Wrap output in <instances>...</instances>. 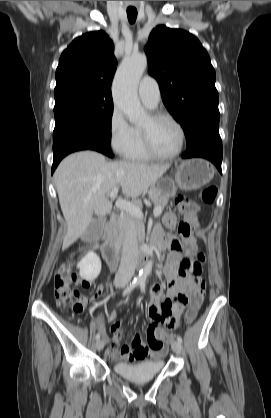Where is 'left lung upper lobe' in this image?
Masks as SVG:
<instances>
[{
  "label": "left lung upper lobe",
  "instance_id": "1",
  "mask_svg": "<svg viewBox=\"0 0 271 418\" xmlns=\"http://www.w3.org/2000/svg\"><path fill=\"white\" fill-rule=\"evenodd\" d=\"M145 52L149 73L159 83L165 106L181 124L187 146L201 135L219 133L215 70L199 40L160 25L151 32Z\"/></svg>",
  "mask_w": 271,
  "mask_h": 418
}]
</instances>
